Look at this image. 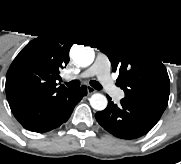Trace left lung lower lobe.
<instances>
[{"label":"left lung lower lobe","mask_w":181,"mask_h":164,"mask_svg":"<svg viewBox=\"0 0 181 164\" xmlns=\"http://www.w3.org/2000/svg\"><path fill=\"white\" fill-rule=\"evenodd\" d=\"M105 110L95 114L98 123L114 136L135 139L148 133L159 121L163 110L137 101L122 99L120 105L108 97Z\"/></svg>","instance_id":"obj_1"}]
</instances>
